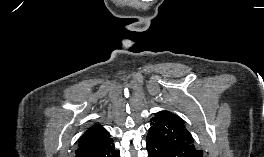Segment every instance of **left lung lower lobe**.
I'll return each mask as SVG.
<instances>
[{"instance_id":"0a47b994","label":"left lung lower lobe","mask_w":264,"mask_h":157,"mask_svg":"<svg viewBox=\"0 0 264 157\" xmlns=\"http://www.w3.org/2000/svg\"><path fill=\"white\" fill-rule=\"evenodd\" d=\"M148 157H170L169 151L159 143L146 140Z\"/></svg>"}]
</instances>
